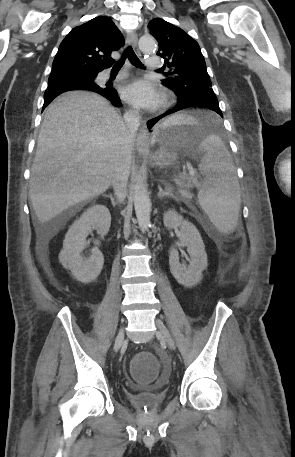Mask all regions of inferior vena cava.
I'll return each mask as SVG.
<instances>
[{
  "mask_svg": "<svg viewBox=\"0 0 295 457\" xmlns=\"http://www.w3.org/2000/svg\"><path fill=\"white\" fill-rule=\"evenodd\" d=\"M124 121L130 138H133L140 125V114L138 110L126 112L124 114ZM129 173V165L127 161L122 158L118 159L114 169L112 186L120 203H122L126 198Z\"/></svg>",
  "mask_w": 295,
  "mask_h": 457,
  "instance_id": "602c4592",
  "label": "inferior vena cava"
}]
</instances>
